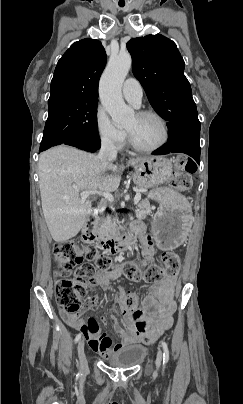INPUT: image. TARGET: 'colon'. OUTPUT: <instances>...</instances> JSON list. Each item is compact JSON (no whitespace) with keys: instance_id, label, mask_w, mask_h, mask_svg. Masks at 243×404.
<instances>
[{"instance_id":"obj_1","label":"colon","mask_w":243,"mask_h":404,"mask_svg":"<svg viewBox=\"0 0 243 404\" xmlns=\"http://www.w3.org/2000/svg\"><path fill=\"white\" fill-rule=\"evenodd\" d=\"M196 172V164L188 157L180 156L176 160L172 177V185L179 191H186L192 186V175ZM54 254L58 270L55 272V297L58 305L68 314L78 317L80 303L87 294V280L93 279L100 271H109L116 267L115 262L107 255L99 253L92 245L81 246L72 241L57 242ZM163 266L156 263L141 265L135 260L124 263L120 270L122 275L131 281L158 283L165 278H173L180 268L179 257L172 252L162 255ZM61 271L72 272L67 277ZM121 309L124 313H133L138 308V297L134 293L121 296Z\"/></svg>"}]
</instances>
